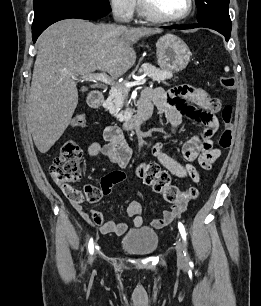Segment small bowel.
<instances>
[{"mask_svg": "<svg viewBox=\"0 0 261 306\" xmlns=\"http://www.w3.org/2000/svg\"><path fill=\"white\" fill-rule=\"evenodd\" d=\"M142 99L148 101L152 107H155L158 114L168 122L170 130L163 135L164 139H169L176 133L184 117L194 123L205 126L200 134L184 143L182 153L187 160L184 164L169 156L164 151L162 142L155 143L151 150L154 158L172 175L199 182L200 172L192 162L197 161L201 168L208 170L221 153L220 149L214 147L212 141V137L219 127L216 114L222 109L221 102L206 90L192 85L176 86L169 91H165L162 88L149 89L143 93ZM104 139L106 141L105 144L91 143L87 149L88 155L104 158L124 169L130 161L131 150L120 130L117 127H108L104 132ZM108 175L101 181V188L105 195L109 194L113 186L117 184L108 181ZM89 187L87 186L85 189ZM62 190L71 200L80 216L87 223L96 227L100 233L115 234L117 236L126 233L128 229L126 223L106 220L103 214L96 210H85L81 202L73 199L63 187ZM188 202V200H181L170 209L164 210L161 217L151 221V226L155 229H160L170 224L185 211ZM127 214L133 219L135 227L142 226V205L140 202L131 201L127 207Z\"/></svg>", "mask_w": 261, "mask_h": 306, "instance_id": "obj_1", "label": "small bowel"}]
</instances>
